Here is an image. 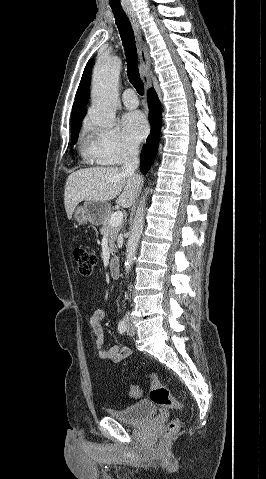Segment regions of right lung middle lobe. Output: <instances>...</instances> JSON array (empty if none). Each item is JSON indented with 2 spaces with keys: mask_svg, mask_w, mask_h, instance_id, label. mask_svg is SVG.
Masks as SVG:
<instances>
[{
  "mask_svg": "<svg viewBox=\"0 0 266 479\" xmlns=\"http://www.w3.org/2000/svg\"><path fill=\"white\" fill-rule=\"evenodd\" d=\"M81 128V120L72 122L71 130H72V141L73 144H75L78 136H79V130Z\"/></svg>",
  "mask_w": 266,
  "mask_h": 479,
  "instance_id": "1",
  "label": "right lung middle lobe"
}]
</instances>
